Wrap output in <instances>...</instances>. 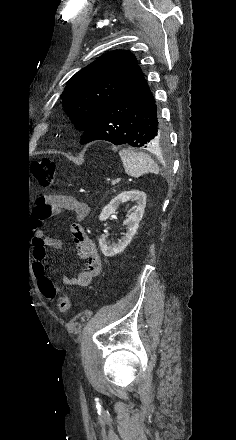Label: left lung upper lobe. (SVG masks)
Masks as SVG:
<instances>
[{
	"instance_id": "obj_1",
	"label": "left lung upper lobe",
	"mask_w": 236,
	"mask_h": 440,
	"mask_svg": "<svg viewBox=\"0 0 236 440\" xmlns=\"http://www.w3.org/2000/svg\"><path fill=\"white\" fill-rule=\"evenodd\" d=\"M143 76L135 56L115 50L77 72L60 96L78 130H86L104 108Z\"/></svg>"
}]
</instances>
